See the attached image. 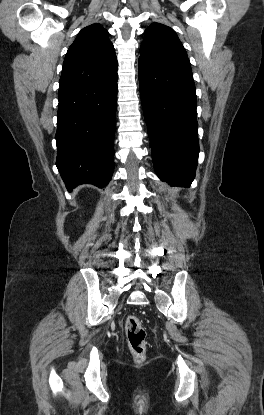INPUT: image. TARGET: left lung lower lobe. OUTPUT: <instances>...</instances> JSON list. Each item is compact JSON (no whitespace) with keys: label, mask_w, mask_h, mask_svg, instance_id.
<instances>
[{"label":"left lung lower lobe","mask_w":264,"mask_h":415,"mask_svg":"<svg viewBox=\"0 0 264 415\" xmlns=\"http://www.w3.org/2000/svg\"><path fill=\"white\" fill-rule=\"evenodd\" d=\"M138 69L155 171L171 186L189 187L195 178L199 154L192 73L141 59Z\"/></svg>","instance_id":"1"}]
</instances>
